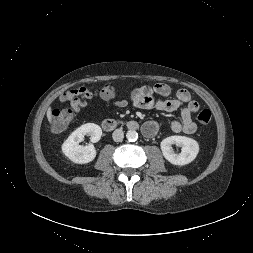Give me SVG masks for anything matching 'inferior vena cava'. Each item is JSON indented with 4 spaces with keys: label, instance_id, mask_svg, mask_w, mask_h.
Returning a JSON list of instances; mask_svg holds the SVG:
<instances>
[{
    "label": "inferior vena cava",
    "instance_id": "602c4592",
    "mask_svg": "<svg viewBox=\"0 0 253 253\" xmlns=\"http://www.w3.org/2000/svg\"><path fill=\"white\" fill-rule=\"evenodd\" d=\"M112 138L115 142H120L123 140L124 138V133L122 131V129H116L113 134H112Z\"/></svg>",
    "mask_w": 253,
    "mask_h": 253
}]
</instances>
